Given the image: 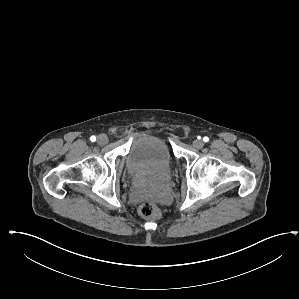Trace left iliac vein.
Masks as SVG:
<instances>
[{"mask_svg":"<svg viewBox=\"0 0 299 299\" xmlns=\"http://www.w3.org/2000/svg\"><path fill=\"white\" fill-rule=\"evenodd\" d=\"M192 145L196 149H201L204 146V142L202 140L196 139L193 141Z\"/></svg>","mask_w":299,"mask_h":299,"instance_id":"1","label":"left iliac vein"}]
</instances>
